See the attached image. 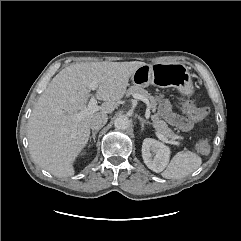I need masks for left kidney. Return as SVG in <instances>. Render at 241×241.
Segmentation results:
<instances>
[{
    "mask_svg": "<svg viewBox=\"0 0 241 241\" xmlns=\"http://www.w3.org/2000/svg\"><path fill=\"white\" fill-rule=\"evenodd\" d=\"M170 148L163 143L146 138L142 144V157L146 166L156 173L165 169L170 158Z\"/></svg>",
    "mask_w": 241,
    "mask_h": 241,
    "instance_id": "5707ae66",
    "label": "left kidney"
}]
</instances>
